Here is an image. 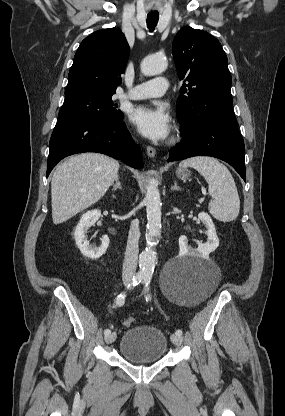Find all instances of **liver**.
<instances>
[{
  "instance_id": "liver-1",
  "label": "liver",
  "mask_w": 285,
  "mask_h": 416,
  "mask_svg": "<svg viewBox=\"0 0 285 416\" xmlns=\"http://www.w3.org/2000/svg\"><path fill=\"white\" fill-rule=\"evenodd\" d=\"M119 168V162L103 154H80L58 166L51 182L53 224H63L101 200Z\"/></svg>"
}]
</instances>
